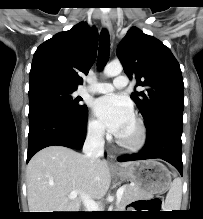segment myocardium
<instances>
[{
  "label": "myocardium",
  "instance_id": "obj_1",
  "mask_svg": "<svg viewBox=\"0 0 203 219\" xmlns=\"http://www.w3.org/2000/svg\"><path fill=\"white\" fill-rule=\"evenodd\" d=\"M133 120L138 129L137 138L133 141H124L120 139L118 136H116L115 141L120 148L130 152H137L141 150L146 144L147 129L144 121L139 116L134 115Z\"/></svg>",
  "mask_w": 203,
  "mask_h": 219
}]
</instances>
